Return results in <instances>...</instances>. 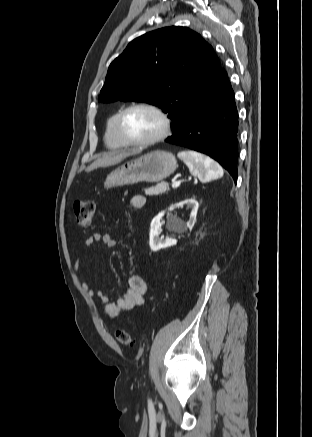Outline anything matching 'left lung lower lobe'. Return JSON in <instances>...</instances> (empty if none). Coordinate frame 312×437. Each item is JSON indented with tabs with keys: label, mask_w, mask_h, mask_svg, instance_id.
<instances>
[{
	"label": "left lung lower lobe",
	"mask_w": 312,
	"mask_h": 437,
	"mask_svg": "<svg viewBox=\"0 0 312 437\" xmlns=\"http://www.w3.org/2000/svg\"><path fill=\"white\" fill-rule=\"evenodd\" d=\"M166 142L202 152L237 181L238 113L225 70L189 105Z\"/></svg>",
	"instance_id": "1"
}]
</instances>
